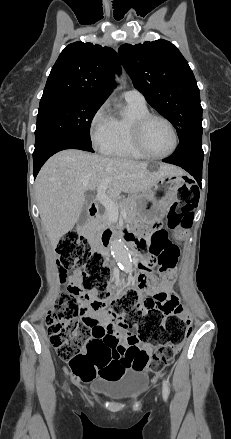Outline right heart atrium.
Returning <instances> with one entry per match:
<instances>
[{"label": "right heart atrium", "mask_w": 231, "mask_h": 439, "mask_svg": "<svg viewBox=\"0 0 231 439\" xmlns=\"http://www.w3.org/2000/svg\"><path fill=\"white\" fill-rule=\"evenodd\" d=\"M112 117L106 103L100 105L91 117L89 125L90 139L93 145L101 149L111 138Z\"/></svg>", "instance_id": "right-heart-atrium-1"}]
</instances>
